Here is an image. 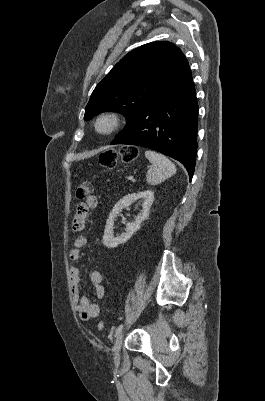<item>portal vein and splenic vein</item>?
Returning <instances> with one entry per match:
<instances>
[{
    "label": "portal vein and splenic vein",
    "mask_w": 265,
    "mask_h": 401,
    "mask_svg": "<svg viewBox=\"0 0 265 401\" xmlns=\"http://www.w3.org/2000/svg\"><path fill=\"white\" fill-rule=\"evenodd\" d=\"M133 178H134V175H133V174H130V175L127 177V180H128V181H132Z\"/></svg>",
    "instance_id": "1"
}]
</instances>
